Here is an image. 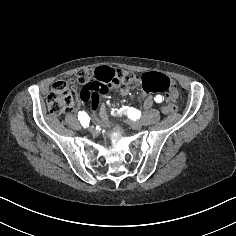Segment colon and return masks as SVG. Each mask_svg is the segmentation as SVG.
Segmentation results:
<instances>
[{
	"label": "colon",
	"mask_w": 236,
	"mask_h": 236,
	"mask_svg": "<svg viewBox=\"0 0 236 236\" xmlns=\"http://www.w3.org/2000/svg\"><path fill=\"white\" fill-rule=\"evenodd\" d=\"M141 82L145 93L165 92L167 104L162 108L165 115L177 110L175 98L177 89L175 83L160 73H145L141 77L125 70H114L110 67H99L95 70L84 68L77 74V82L82 85L80 90L72 82L57 81L47 96L49 112L60 116L72 110L79 98L83 102L97 105L99 96L106 94L117 86H130Z\"/></svg>",
	"instance_id": "colon-1"
}]
</instances>
